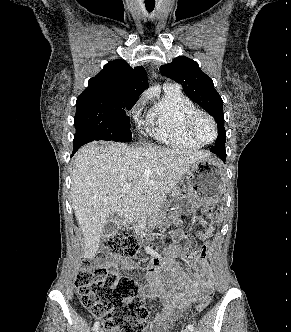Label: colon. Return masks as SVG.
<instances>
[{
    "label": "colon",
    "instance_id": "1",
    "mask_svg": "<svg viewBox=\"0 0 291 332\" xmlns=\"http://www.w3.org/2000/svg\"><path fill=\"white\" fill-rule=\"evenodd\" d=\"M210 219L212 225L202 231L203 239L213 233V228L219 222L215 213L210 214ZM140 248L138 236L115 233L104 240L96 261L101 263L111 257H134ZM75 286L82 305L94 316L102 318L106 332H149L148 312L135 280L120 276L100 264L92 265L85 261L76 276ZM210 299V294L202 295L196 311L206 308Z\"/></svg>",
    "mask_w": 291,
    "mask_h": 332
}]
</instances>
